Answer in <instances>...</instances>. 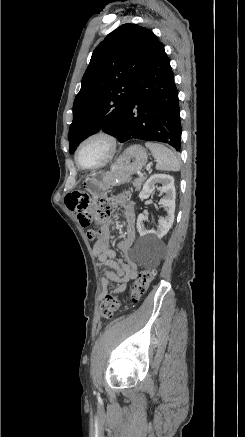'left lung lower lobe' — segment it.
<instances>
[{"instance_id":"obj_1","label":"left lung lower lobe","mask_w":245,"mask_h":437,"mask_svg":"<svg viewBox=\"0 0 245 437\" xmlns=\"http://www.w3.org/2000/svg\"><path fill=\"white\" fill-rule=\"evenodd\" d=\"M181 131L174 75L164 46L160 43L133 86L119 141L133 138L158 141L180 151Z\"/></svg>"}]
</instances>
